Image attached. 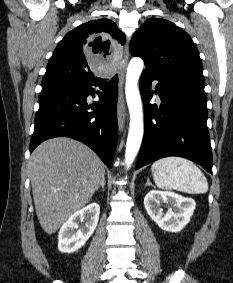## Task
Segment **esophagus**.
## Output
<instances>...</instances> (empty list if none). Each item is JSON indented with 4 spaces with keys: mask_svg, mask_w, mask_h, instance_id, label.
<instances>
[{
    "mask_svg": "<svg viewBox=\"0 0 233 283\" xmlns=\"http://www.w3.org/2000/svg\"><path fill=\"white\" fill-rule=\"evenodd\" d=\"M128 58H129V49L128 46H126L124 50V59L122 63V68L119 72V96L117 103V119H118L119 130L123 129L126 119V107L124 102L123 84H124L125 69L127 66Z\"/></svg>",
    "mask_w": 233,
    "mask_h": 283,
    "instance_id": "esophagus-1",
    "label": "esophagus"
}]
</instances>
